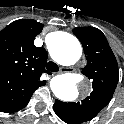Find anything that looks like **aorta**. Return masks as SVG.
I'll use <instances>...</instances> for the list:
<instances>
[{
	"mask_svg": "<svg viewBox=\"0 0 124 124\" xmlns=\"http://www.w3.org/2000/svg\"><path fill=\"white\" fill-rule=\"evenodd\" d=\"M50 54L61 65H72L81 57L82 48L76 37L66 32H59L50 46ZM79 81L78 74H61L50 81V88L58 99L74 101L79 95L77 88Z\"/></svg>",
	"mask_w": 124,
	"mask_h": 124,
	"instance_id": "aorta-1",
	"label": "aorta"
}]
</instances>
